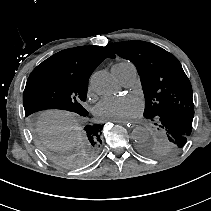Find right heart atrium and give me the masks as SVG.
Segmentation results:
<instances>
[{"instance_id":"1","label":"right heart atrium","mask_w":211,"mask_h":211,"mask_svg":"<svg viewBox=\"0 0 211 211\" xmlns=\"http://www.w3.org/2000/svg\"><path fill=\"white\" fill-rule=\"evenodd\" d=\"M91 89H92V87L90 86V87H89V91H90Z\"/></svg>"}]
</instances>
